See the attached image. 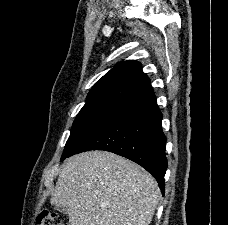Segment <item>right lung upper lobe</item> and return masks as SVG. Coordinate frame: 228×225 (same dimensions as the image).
Returning <instances> with one entry per match:
<instances>
[{"instance_id":"obj_1","label":"right lung upper lobe","mask_w":228,"mask_h":225,"mask_svg":"<svg viewBox=\"0 0 228 225\" xmlns=\"http://www.w3.org/2000/svg\"><path fill=\"white\" fill-rule=\"evenodd\" d=\"M117 83L144 90L150 86V79L142 72L139 62L128 60L118 63L100 78L94 87Z\"/></svg>"}]
</instances>
